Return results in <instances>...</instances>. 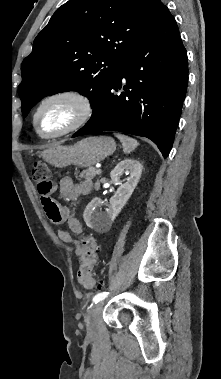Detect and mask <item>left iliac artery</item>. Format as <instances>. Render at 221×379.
Listing matches in <instances>:
<instances>
[{
	"label": "left iliac artery",
	"instance_id": "obj_1",
	"mask_svg": "<svg viewBox=\"0 0 221 379\" xmlns=\"http://www.w3.org/2000/svg\"><path fill=\"white\" fill-rule=\"evenodd\" d=\"M108 294H109L108 292L98 293V294H96V295L93 297L92 302L96 304V303H98L99 301L105 299V298L107 297Z\"/></svg>",
	"mask_w": 221,
	"mask_h": 379
}]
</instances>
